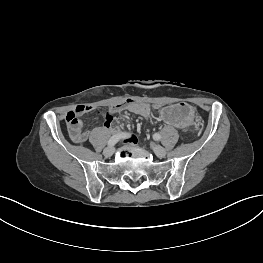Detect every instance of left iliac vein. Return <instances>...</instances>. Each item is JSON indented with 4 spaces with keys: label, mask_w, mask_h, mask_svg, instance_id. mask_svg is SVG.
<instances>
[{
    "label": "left iliac vein",
    "mask_w": 263,
    "mask_h": 263,
    "mask_svg": "<svg viewBox=\"0 0 263 263\" xmlns=\"http://www.w3.org/2000/svg\"><path fill=\"white\" fill-rule=\"evenodd\" d=\"M151 147H152L154 153L158 157L162 158V157H164L166 155V151H165V149L163 147H161L159 145H155V144H153Z\"/></svg>",
    "instance_id": "left-iliac-vein-1"
}]
</instances>
